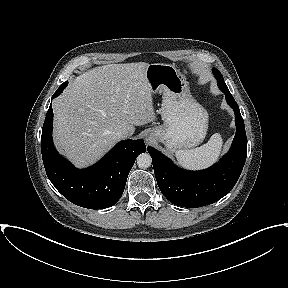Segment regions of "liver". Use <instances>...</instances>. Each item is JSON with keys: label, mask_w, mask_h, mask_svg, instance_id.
Segmentation results:
<instances>
[{"label": "liver", "mask_w": 288, "mask_h": 288, "mask_svg": "<svg viewBox=\"0 0 288 288\" xmlns=\"http://www.w3.org/2000/svg\"><path fill=\"white\" fill-rule=\"evenodd\" d=\"M148 63L108 64L76 77L54 101L53 140L58 151L83 168L118 141L155 120L152 91L145 76Z\"/></svg>", "instance_id": "1"}]
</instances>
